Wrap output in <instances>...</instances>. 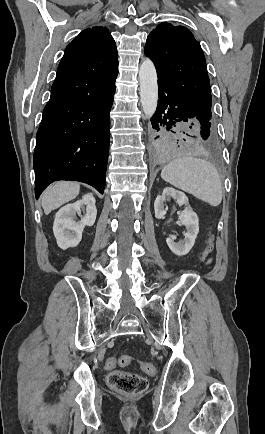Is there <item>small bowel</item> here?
Listing matches in <instances>:
<instances>
[{
	"mask_svg": "<svg viewBox=\"0 0 265 434\" xmlns=\"http://www.w3.org/2000/svg\"><path fill=\"white\" fill-rule=\"evenodd\" d=\"M210 262V260H209ZM117 365H121L115 358H108L105 362V369L106 370H113Z\"/></svg>",
	"mask_w": 265,
	"mask_h": 434,
	"instance_id": "small-bowel-1",
	"label": "small bowel"
}]
</instances>
